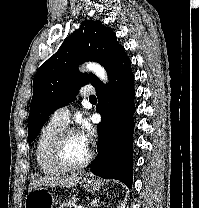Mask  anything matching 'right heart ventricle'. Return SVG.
Returning <instances> with one entry per match:
<instances>
[{"label": "right heart ventricle", "mask_w": 199, "mask_h": 208, "mask_svg": "<svg viewBox=\"0 0 199 208\" xmlns=\"http://www.w3.org/2000/svg\"><path fill=\"white\" fill-rule=\"evenodd\" d=\"M65 128V125L53 121L52 119L42 128L35 147L36 163L42 173L55 175L62 172L55 166L50 157V149L57 134Z\"/></svg>", "instance_id": "right-heart-ventricle-1"}]
</instances>
